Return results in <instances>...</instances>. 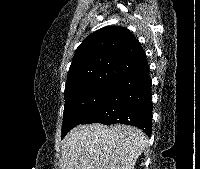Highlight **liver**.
<instances>
[{
    "mask_svg": "<svg viewBox=\"0 0 200 169\" xmlns=\"http://www.w3.org/2000/svg\"><path fill=\"white\" fill-rule=\"evenodd\" d=\"M147 143L135 127L79 125L63 140L60 169H134Z\"/></svg>",
    "mask_w": 200,
    "mask_h": 169,
    "instance_id": "1",
    "label": "liver"
}]
</instances>
